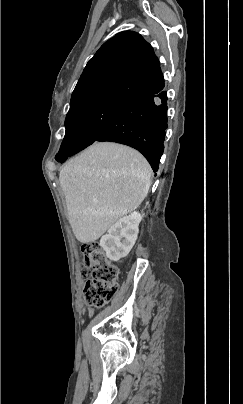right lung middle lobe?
<instances>
[{"mask_svg": "<svg viewBox=\"0 0 243 404\" xmlns=\"http://www.w3.org/2000/svg\"><path fill=\"white\" fill-rule=\"evenodd\" d=\"M126 102L125 100L107 99L70 110L66 115V133L56 160L64 162L68 157L94 143Z\"/></svg>", "mask_w": 243, "mask_h": 404, "instance_id": "1", "label": "right lung middle lobe"}]
</instances>
